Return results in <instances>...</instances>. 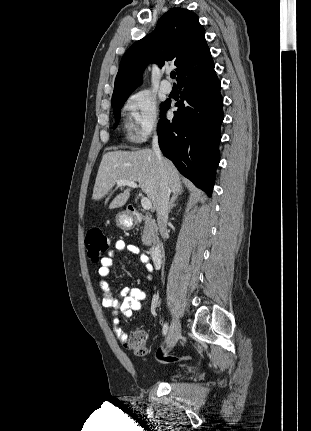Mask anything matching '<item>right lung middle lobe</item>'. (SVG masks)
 Instances as JSON below:
<instances>
[{"label": "right lung middle lobe", "instance_id": "1", "mask_svg": "<svg viewBox=\"0 0 311 431\" xmlns=\"http://www.w3.org/2000/svg\"><path fill=\"white\" fill-rule=\"evenodd\" d=\"M127 98H128V96H120V97L112 99V107L115 108L114 109V113H115V124H114V127H116L118 125V123H119L120 114H121L120 109L123 106V102ZM168 103H169L168 101H165L164 103H162L161 110H163Z\"/></svg>", "mask_w": 311, "mask_h": 431}]
</instances>
